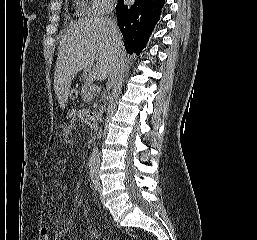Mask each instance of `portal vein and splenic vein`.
Masks as SVG:
<instances>
[{
    "mask_svg": "<svg viewBox=\"0 0 257 240\" xmlns=\"http://www.w3.org/2000/svg\"><path fill=\"white\" fill-rule=\"evenodd\" d=\"M89 99L93 98V95L91 93L88 94Z\"/></svg>",
    "mask_w": 257,
    "mask_h": 240,
    "instance_id": "18ae733b",
    "label": "portal vein and splenic vein"
}]
</instances>
